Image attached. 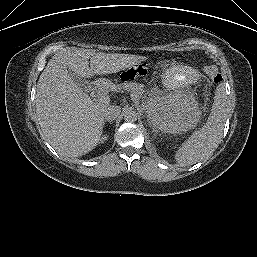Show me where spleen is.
Returning a JSON list of instances; mask_svg holds the SVG:
<instances>
[{"mask_svg":"<svg viewBox=\"0 0 257 257\" xmlns=\"http://www.w3.org/2000/svg\"><path fill=\"white\" fill-rule=\"evenodd\" d=\"M228 116L225 90L216 89L214 102L208 120L203 127L194 131L179 147L175 159L180 166L193 165L209 157L218 147Z\"/></svg>","mask_w":257,"mask_h":257,"instance_id":"3e777b00","label":"spleen"}]
</instances>
